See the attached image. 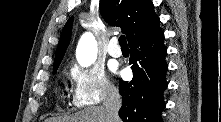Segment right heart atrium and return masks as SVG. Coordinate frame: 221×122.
I'll use <instances>...</instances> for the list:
<instances>
[{"instance_id": "d8ad5b80", "label": "right heart atrium", "mask_w": 221, "mask_h": 122, "mask_svg": "<svg viewBox=\"0 0 221 122\" xmlns=\"http://www.w3.org/2000/svg\"><path fill=\"white\" fill-rule=\"evenodd\" d=\"M71 77L73 79L72 102L76 107L96 105L113 99L117 95L115 87L100 66H74Z\"/></svg>"}]
</instances>
